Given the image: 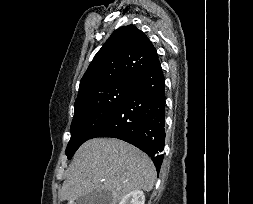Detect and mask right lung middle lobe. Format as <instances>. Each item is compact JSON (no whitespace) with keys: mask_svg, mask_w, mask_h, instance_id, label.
Masks as SVG:
<instances>
[{"mask_svg":"<svg viewBox=\"0 0 253 204\" xmlns=\"http://www.w3.org/2000/svg\"><path fill=\"white\" fill-rule=\"evenodd\" d=\"M133 83H114L92 90L75 101L71 138L66 155L71 159L76 150L93 138L131 90Z\"/></svg>","mask_w":253,"mask_h":204,"instance_id":"right-lung-middle-lobe-1","label":"right lung middle lobe"}]
</instances>
